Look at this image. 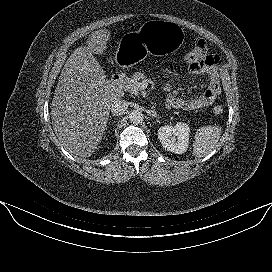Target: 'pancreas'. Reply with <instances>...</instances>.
I'll list each match as a JSON object with an SVG mask.
<instances>
[{
    "mask_svg": "<svg viewBox=\"0 0 272 272\" xmlns=\"http://www.w3.org/2000/svg\"><path fill=\"white\" fill-rule=\"evenodd\" d=\"M145 79L146 75L144 73L135 72L130 78L126 79L124 85L130 93L137 95L141 90L139 83L141 80Z\"/></svg>",
    "mask_w": 272,
    "mask_h": 272,
    "instance_id": "1",
    "label": "pancreas"
}]
</instances>
